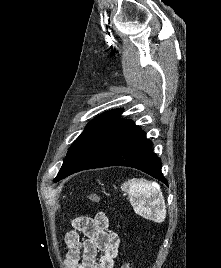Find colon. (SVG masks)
Masks as SVG:
<instances>
[{"instance_id": "colon-1", "label": "colon", "mask_w": 221, "mask_h": 268, "mask_svg": "<svg viewBox=\"0 0 221 268\" xmlns=\"http://www.w3.org/2000/svg\"><path fill=\"white\" fill-rule=\"evenodd\" d=\"M87 200L93 204H97L100 201V198L97 195H89L87 196ZM121 268H132V267L130 263L124 262Z\"/></svg>"}]
</instances>
